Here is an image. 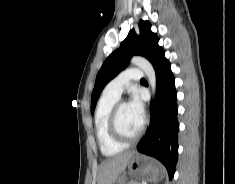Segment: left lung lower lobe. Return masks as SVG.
I'll use <instances>...</instances> for the list:
<instances>
[{
	"label": "left lung lower lobe",
	"instance_id": "1",
	"mask_svg": "<svg viewBox=\"0 0 235 184\" xmlns=\"http://www.w3.org/2000/svg\"><path fill=\"white\" fill-rule=\"evenodd\" d=\"M156 73L157 96L151 103V125L137 150L157 158L172 179L178 161L177 103L174 76L162 47H157L150 61Z\"/></svg>",
	"mask_w": 235,
	"mask_h": 184
}]
</instances>
